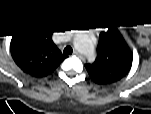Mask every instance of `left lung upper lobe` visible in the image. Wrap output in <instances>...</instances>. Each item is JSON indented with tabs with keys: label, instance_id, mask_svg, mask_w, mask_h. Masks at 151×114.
Here are the masks:
<instances>
[{
	"label": "left lung upper lobe",
	"instance_id": "left-lung-upper-lobe-1",
	"mask_svg": "<svg viewBox=\"0 0 151 114\" xmlns=\"http://www.w3.org/2000/svg\"><path fill=\"white\" fill-rule=\"evenodd\" d=\"M132 55L124 42L113 34H100L97 58L86 69L91 79L98 84L117 82L129 72Z\"/></svg>",
	"mask_w": 151,
	"mask_h": 114
}]
</instances>
